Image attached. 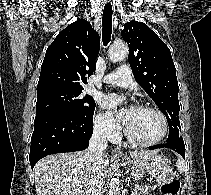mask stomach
I'll list each match as a JSON object with an SVG mask.
<instances>
[{
	"label": "stomach",
	"instance_id": "0dacf381",
	"mask_svg": "<svg viewBox=\"0 0 211 195\" xmlns=\"http://www.w3.org/2000/svg\"><path fill=\"white\" fill-rule=\"evenodd\" d=\"M124 165L131 166V175L135 179H140L144 171L148 172L159 184L167 183L173 180V170L171 162L165 156L155 154L143 159L139 163H134L129 158L121 159Z\"/></svg>",
	"mask_w": 211,
	"mask_h": 195
}]
</instances>
